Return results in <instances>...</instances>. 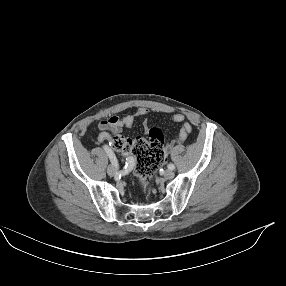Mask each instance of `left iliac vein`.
<instances>
[{
	"mask_svg": "<svg viewBox=\"0 0 286 286\" xmlns=\"http://www.w3.org/2000/svg\"><path fill=\"white\" fill-rule=\"evenodd\" d=\"M164 177L166 178V179H172L173 177H174V172L172 171V170H166L165 172H164Z\"/></svg>",
	"mask_w": 286,
	"mask_h": 286,
	"instance_id": "4c4485c4",
	"label": "left iliac vein"
}]
</instances>
